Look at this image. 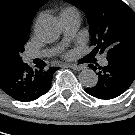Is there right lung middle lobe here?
Masks as SVG:
<instances>
[{"mask_svg": "<svg viewBox=\"0 0 135 135\" xmlns=\"http://www.w3.org/2000/svg\"><path fill=\"white\" fill-rule=\"evenodd\" d=\"M30 26L0 9V59L22 62L21 53L29 38Z\"/></svg>", "mask_w": 135, "mask_h": 135, "instance_id": "1", "label": "right lung middle lobe"}]
</instances>
